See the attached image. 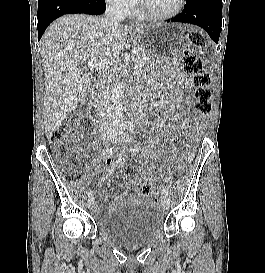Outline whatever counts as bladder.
<instances>
[{"label": "bladder", "instance_id": "bladder-1", "mask_svg": "<svg viewBox=\"0 0 265 273\" xmlns=\"http://www.w3.org/2000/svg\"><path fill=\"white\" fill-rule=\"evenodd\" d=\"M164 224L160 208L150 203L127 204L97 221L100 233L125 248H136L155 240L162 234Z\"/></svg>", "mask_w": 265, "mask_h": 273}]
</instances>
